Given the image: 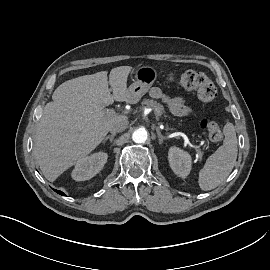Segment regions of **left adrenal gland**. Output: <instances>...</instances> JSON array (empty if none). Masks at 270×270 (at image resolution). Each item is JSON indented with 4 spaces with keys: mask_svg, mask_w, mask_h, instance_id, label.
Segmentation results:
<instances>
[{
    "mask_svg": "<svg viewBox=\"0 0 270 270\" xmlns=\"http://www.w3.org/2000/svg\"><path fill=\"white\" fill-rule=\"evenodd\" d=\"M156 131H157V136L159 138V143L162 144L163 143V140H164V137L162 136L160 130L158 128H156Z\"/></svg>",
    "mask_w": 270,
    "mask_h": 270,
    "instance_id": "1",
    "label": "left adrenal gland"
}]
</instances>
